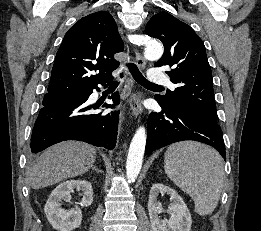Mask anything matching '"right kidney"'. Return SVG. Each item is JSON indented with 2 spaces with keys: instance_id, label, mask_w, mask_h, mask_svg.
I'll use <instances>...</instances> for the list:
<instances>
[{
  "instance_id": "ca27d5eb",
  "label": "right kidney",
  "mask_w": 261,
  "mask_h": 231,
  "mask_svg": "<svg viewBox=\"0 0 261 231\" xmlns=\"http://www.w3.org/2000/svg\"><path fill=\"white\" fill-rule=\"evenodd\" d=\"M76 189L82 191V207H88L93 202V189L86 180H68L59 184L50 194L44 211L47 220L58 231H72L78 228L82 222V211L76 205L74 209L64 210L61 208L62 201L71 200V192Z\"/></svg>"
}]
</instances>
